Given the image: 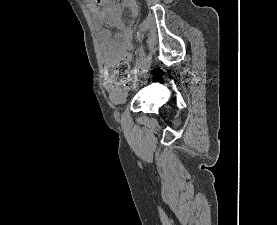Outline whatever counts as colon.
<instances>
[{"instance_id": "colon-1", "label": "colon", "mask_w": 277, "mask_h": 225, "mask_svg": "<svg viewBox=\"0 0 277 225\" xmlns=\"http://www.w3.org/2000/svg\"><path fill=\"white\" fill-rule=\"evenodd\" d=\"M114 80L123 85H131L134 81L127 62H121L114 72Z\"/></svg>"}]
</instances>
